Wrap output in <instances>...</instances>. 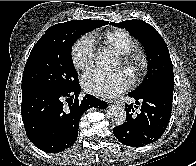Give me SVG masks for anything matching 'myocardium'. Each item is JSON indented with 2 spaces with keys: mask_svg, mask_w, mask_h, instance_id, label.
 Here are the masks:
<instances>
[{
  "mask_svg": "<svg viewBox=\"0 0 196 166\" xmlns=\"http://www.w3.org/2000/svg\"><path fill=\"white\" fill-rule=\"evenodd\" d=\"M120 60L123 64L128 65L138 73L142 72L147 65V56L145 52L137 46L120 54Z\"/></svg>",
  "mask_w": 196,
  "mask_h": 166,
  "instance_id": "f54148a6",
  "label": "myocardium"
}]
</instances>
